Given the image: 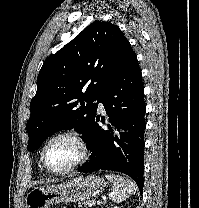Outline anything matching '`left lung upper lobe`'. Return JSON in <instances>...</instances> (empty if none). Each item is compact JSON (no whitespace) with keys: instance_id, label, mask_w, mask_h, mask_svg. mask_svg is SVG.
<instances>
[{"instance_id":"1","label":"left lung upper lobe","mask_w":199,"mask_h":208,"mask_svg":"<svg viewBox=\"0 0 199 208\" xmlns=\"http://www.w3.org/2000/svg\"><path fill=\"white\" fill-rule=\"evenodd\" d=\"M135 55L122 31L109 22L95 21L56 54L49 56L37 77L26 129L28 151L53 133L74 128L89 136L102 90Z\"/></svg>"}]
</instances>
